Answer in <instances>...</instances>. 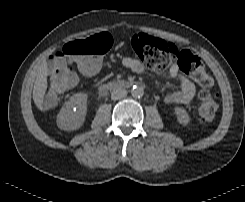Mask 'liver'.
<instances>
[{
    "instance_id": "liver-1",
    "label": "liver",
    "mask_w": 245,
    "mask_h": 202,
    "mask_svg": "<svg viewBox=\"0 0 245 202\" xmlns=\"http://www.w3.org/2000/svg\"><path fill=\"white\" fill-rule=\"evenodd\" d=\"M48 66L44 61L38 67V74L34 84L33 99L36 106L43 110V99L47 89Z\"/></svg>"
}]
</instances>
